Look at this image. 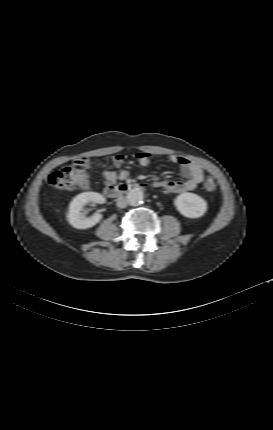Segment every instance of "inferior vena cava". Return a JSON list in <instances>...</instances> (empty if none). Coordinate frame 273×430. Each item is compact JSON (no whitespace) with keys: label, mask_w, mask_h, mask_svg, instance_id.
<instances>
[{"label":"inferior vena cava","mask_w":273,"mask_h":430,"mask_svg":"<svg viewBox=\"0 0 273 430\" xmlns=\"http://www.w3.org/2000/svg\"><path fill=\"white\" fill-rule=\"evenodd\" d=\"M127 204H128V202H127V199H126L125 197L120 196V197L117 199V206H118L119 208H125V207L127 206Z\"/></svg>","instance_id":"602c4592"}]
</instances>
